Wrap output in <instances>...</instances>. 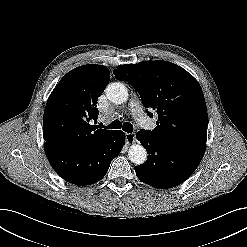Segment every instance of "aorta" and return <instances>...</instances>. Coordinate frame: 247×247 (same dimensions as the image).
<instances>
[{
    "label": "aorta",
    "mask_w": 247,
    "mask_h": 247,
    "mask_svg": "<svg viewBox=\"0 0 247 247\" xmlns=\"http://www.w3.org/2000/svg\"><path fill=\"white\" fill-rule=\"evenodd\" d=\"M107 98L115 104H123L128 99V89L120 82L110 83L106 88ZM128 156L131 162L140 165L147 160V151L140 144H133L128 150Z\"/></svg>",
    "instance_id": "762f6f07"
}]
</instances>
